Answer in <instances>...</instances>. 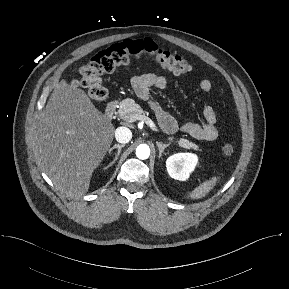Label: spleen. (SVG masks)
I'll return each instance as SVG.
<instances>
[{
	"mask_svg": "<svg viewBox=\"0 0 289 289\" xmlns=\"http://www.w3.org/2000/svg\"><path fill=\"white\" fill-rule=\"evenodd\" d=\"M218 177H212L211 180L205 181L196 187L190 194L191 198L199 199L204 197L216 185Z\"/></svg>",
	"mask_w": 289,
	"mask_h": 289,
	"instance_id": "1",
	"label": "spleen"
}]
</instances>
